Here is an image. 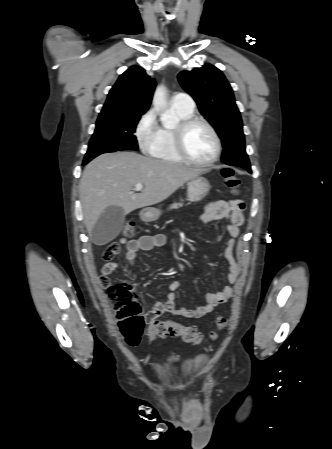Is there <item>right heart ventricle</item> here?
I'll return each instance as SVG.
<instances>
[{"instance_id":"1","label":"right heart ventricle","mask_w":332,"mask_h":449,"mask_svg":"<svg viewBox=\"0 0 332 449\" xmlns=\"http://www.w3.org/2000/svg\"><path fill=\"white\" fill-rule=\"evenodd\" d=\"M171 111L176 121L187 119L193 115V111H188L176 106H171ZM150 156L168 161L181 162L183 161L175 151L173 143V127L160 126L156 139L150 149L148 150Z\"/></svg>"}]
</instances>
